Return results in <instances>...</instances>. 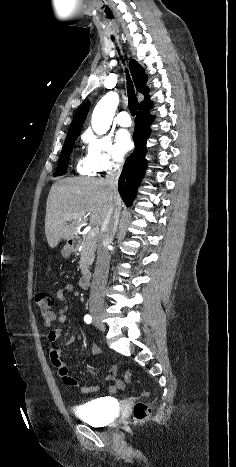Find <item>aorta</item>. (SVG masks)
I'll list each match as a JSON object with an SVG mask.
<instances>
[{"mask_svg": "<svg viewBox=\"0 0 236 467\" xmlns=\"http://www.w3.org/2000/svg\"><path fill=\"white\" fill-rule=\"evenodd\" d=\"M119 104V95L108 92L96 105L91 119L92 129L96 134H105L112 123L113 116Z\"/></svg>", "mask_w": 236, "mask_h": 467, "instance_id": "obj_1", "label": "aorta"}]
</instances>
